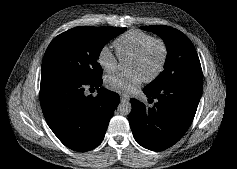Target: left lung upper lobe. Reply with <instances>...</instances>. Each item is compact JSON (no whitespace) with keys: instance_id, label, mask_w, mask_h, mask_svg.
Returning a JSON list of instances; mask_svg holds the SVG:
<instances>
[{"instance_id":"obj_1","label":"left lung upper lobe","mask_w":237,"mask_h":169,"mask_svg":"<svg viewBox=\"0 0 237 169\" xmlns=\"http://www.w3.org/2000/svg\"><path fill=\"white\" fill-rule=\"evenodd\" d=\"M141 29L159 35L167 48L164 71L145 88L153 90L177 82L203 80L199 57L186 35L169 26H143Z\"/></svg>"}]
</instances>
